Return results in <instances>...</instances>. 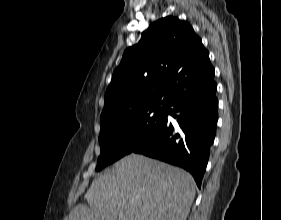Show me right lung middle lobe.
<instances>
[{
    "label": "right lung middle lobe",
    "mask_w": 281,
    "mask_h": 220,
    "mask_svg": "<svg viewBox=\"0 0 281 220\" xmlns=\"http://www.w3.org/2000/svg\"><path fill=\"white\" fill-rule=\"evenodd\" d=\"M166 120V109H148L120 117L101 128V154L96 170L131 153L155 135Z\"/></svg>",
    "instance_id": "right-lung-middle-lobe-1"
}]
</instances>
